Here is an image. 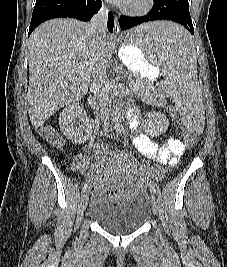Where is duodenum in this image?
Instances as JSON below:
<instances>
[{
    "label": "duodenum",
    "mask_w": 227,
    "mask_h": 267,
    "mask_svg": "<svg viewBox=\"0 0 227 267\" xmlns=\"http://www.w3.org/2000/svg\"><path fill=\"white\" fill-rule=\"evenodd\" d=\"M88 103L95 111H98V107H97V105H96V103L92 97H90L88 99Z\"/></svg>",
    "instance_id": "duodenum-1"
}]
</instances>
